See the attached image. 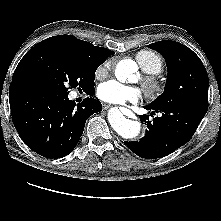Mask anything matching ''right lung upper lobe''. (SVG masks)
Masks as SVG:
<instances>
[{"mask_svg": "<svg viewBox=\"0 0 221 221\" xmlns=\"http://www.w3.org/2000/svg\"><path fill=\"white\" fill-rule=\"evenodd\" d=\"M43 42H49L68 47L89 61L99 64V66L108 58V56L113 54V51H110L107 48L94 46L90 42L77 39L71 35L53 36L43 40ZM15 82L17 81L12 78L10 86H12Z\"/></svg>", "mask_w": 221, "mask_h": 221, "instance_id": "1", "label": "right lung upper lobe"}]
</instances>
